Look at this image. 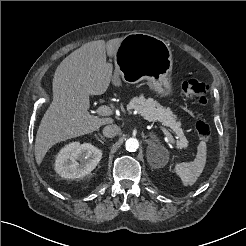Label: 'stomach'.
Listing matches in <instances>:
<instances>
[{
    "label": "stomach",
    "mask_w": 246,
    "mask_h": 246,
    "mask_svg": "<svg viewBox=\"0 0 246 246\" xmlns=\"http://www.w3.org/2000/svg\"><path fill=\"white\" fill-rule=\"evenodd\" d=\"M114 62L115 86H120L121 80L134 84L145 79L159 96L172 93V52L164 40L146 33H130L121 40Z\"/></svg>",
    "instance_id": "0dacf381"
}]
</instances>
